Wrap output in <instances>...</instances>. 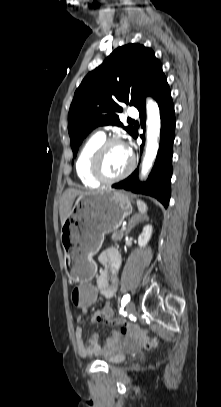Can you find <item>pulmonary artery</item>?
Here are the masks:
<instances>
[{"mask_svg":"<svg viewBox=\"0 0 221 407\" xmlns=\"http://www.w3.org/2000/svg\"><path fill=\"white\" fill-rule=\"evenodd\" d=\"M128 115H129L130 117L136 118V117H138L139 113H138L137 109H135V108L132 107V108H130V109L128 110ZM98 133L104 135V133H103L102 131H99Z\"/></svg>","mask_w":221,"mask_h":407,"instance_id":"obj_1","label":"pulmonary artery"}]
</instances>
